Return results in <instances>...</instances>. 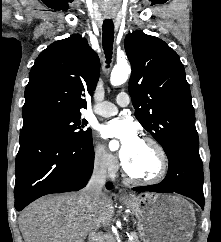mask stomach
Listing matches in <instances>:
<instances>
[{
	"mask_svg": "<svg viewBox=\"0 0 221 242\" xmlns=\"http://www.w3.org/2000/svg\"><path fill=\"white\" fill-rule=\"evenodd\" d=\"M137 218L143 242H189L195 228L191 204L177 195L144 193L122 199Z\"/></svg>",
	"mask_w": 221,
	"mask_h": 242,
	"instance_id": "stomach-1",
	"label": "stomach"
}]
</instances>
